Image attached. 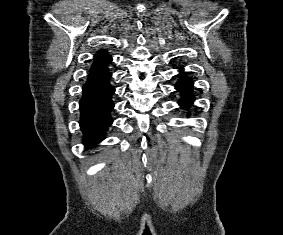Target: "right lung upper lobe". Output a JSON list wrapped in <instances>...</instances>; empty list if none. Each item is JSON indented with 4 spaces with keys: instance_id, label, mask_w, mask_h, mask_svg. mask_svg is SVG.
<instances>
[{
    "instance_id": "obj_1",
    "label": "right lung upper lobe",
    "mask_w": 283,
    "mask_h": 235,
    "mask_svg": "<svg viewBox=\"0 0 283 235\" xmlns=\"http://www.w3.org/2000/svg\"><path fill=\"white\" fill-rule=\"evenodd\" d=\"M112 60L111 56L105 51H99L95 56V63L90 70V76L107 72L106 65Z\"/></svg>"
}]
</instances>
